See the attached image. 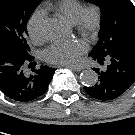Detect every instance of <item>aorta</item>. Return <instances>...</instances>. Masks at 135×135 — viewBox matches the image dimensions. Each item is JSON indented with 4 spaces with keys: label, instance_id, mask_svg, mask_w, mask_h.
Here are the masks:
<instances>
[{
    "label": "aorta",
    "instance_id": "762f6f07",
    "mask_svg": "<svg viewBox=\"0 0 135 135\" xmlns=\"http://www.w3.org/2000/svg\"><path fill=\"white\" fill-rule=\"evenodd\" d=\"M63 24L56 18L46 19L41 26L42 35L50 41H55L63 36ZM80 80L85 86H94L97 83L98 75L92 69L84 70L80 75Z\"/></svg>",
    "mask_w": 135,
    "mask_h": 135
}]
</instances>
